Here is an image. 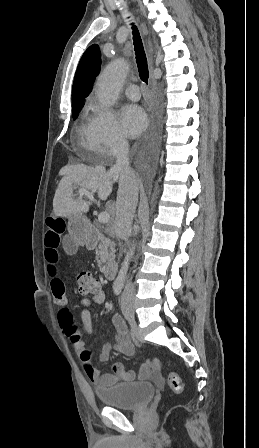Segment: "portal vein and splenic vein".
Here are the masks:
<instances>
[{"mask_svg":"<svg viewBox=\"0 0 259 448\" xmlns=\"http://www.w3.org/2000/svg\"><path fill=\"white\" fill-rule=\"evenodd\" d=\"M110 216L107 214V212H102V214H99L98 216V222H101V224H107L109 222Z\"/></svg>","mask_w":259,"mask_h":448,"instance_id":"18ae733b","label":"portal vein and splenic vein"}]
</instances>
